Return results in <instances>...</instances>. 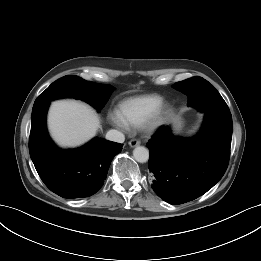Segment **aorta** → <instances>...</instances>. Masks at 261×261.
Listing matches in <instances>:
<instances>
[{
  "label": "aorta",
  "mask_w": 261,
  "mask_h": 261,
  "mask_svg": "<svg viewBox=\"0 0 261 261\" xmlns=\"http://www.w3.org/2000/svg\"><path fill=\"white\" fill-rule=\"evenodd\" d=\"M133 157L139 163H145L149 159V151L143 146H137L133 150Z\"/></svg>",
  "instance_id": "1"
}]
</instances>
